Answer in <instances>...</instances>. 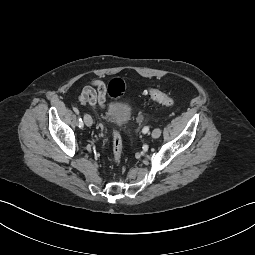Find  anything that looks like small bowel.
Listing matches in <instances>:
<instances>
[{
  "label": "small bowel",
  "mask_w": 255,
  "mask_h": 255,
  "mask_svg": "<svg viewBox=\"0 0 255 255\" xmlns=\"http://www.w3.org/2000/svg\"><path fill=\"white\" fill-rule=\"evenodd\" d=\"M81 104H89L92 108H104L107 100V87L101 80H94L85 86L78 98Z\"/></svg>",
  "instance_id": "c3829d8e"
}]
</instances>
